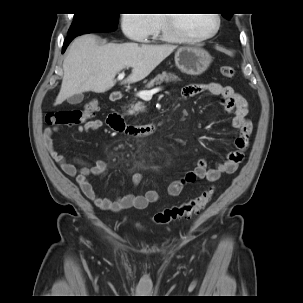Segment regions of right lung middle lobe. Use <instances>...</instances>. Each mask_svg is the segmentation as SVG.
Segmentation results:
<instances>
[{
  "label": "right lung middle lobe",
  "mask_w": 303,
  "mask_h": 303,
  "mask_svg": "<svg viewBox=\"0 0 303 303\" xmlns=\"http://www.w3.org/2000/svg\"><path fill=\"white\" fill-rule=\"evenodd\" d=\"M118 13H82L75 14L68 35L80 34L88 29L97 27L117 28Z\"/></svg>",
  "instance_id": "obj_1"
}]
</instances>
